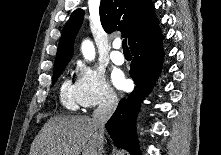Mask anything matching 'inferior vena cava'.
Returning <instances> with one entry per match:
<instances>
[{
	"mask_svg": "<svg viewBox=\"0 0 221 155\" xmlns=\"http://www.w3.org/2000/svg\"><path fill=\"white\" fill-rule=\"evenodd\" d=\"M117 103L118 99L116 94L113 91L108 90L102 101L99 103V106L93 112L92 119L97 127V137L99 141L98 155H102L103 153L104 126L116 109Z\"/></svg>",
	"mask_w": 221,
	"mask_h": 155,
	"instance_id": "obj_1",
	"label": "inferior vena cava"
}]
</instances>
